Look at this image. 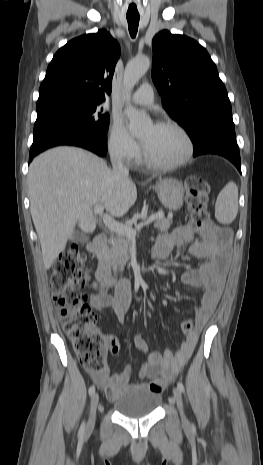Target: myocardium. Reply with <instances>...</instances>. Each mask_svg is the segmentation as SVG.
<instances>
[{"label":"myocardium","mask_w":263,"mask_h":465,"mask_svg":"<svg viewBox=\"0 0 263 465\" xmlns=\"http://www.w3.org/2000/svg\"><path fill=\"white\" fill-rule=\"evenodd\" d=\"M156 126H160V127H169V128H173L175 130H177L181 135L182 137L184 138L185 142H186V151L183 155V157L177 161H174V162H171V163H162V162H159L157 160H155L148 152V150L146 149V147L144 146L143 144V155H144V160L145 162L155 168V169H158V170H173V169H177L179 167H182L184 166L185 164H187L190 159L192 158L193 154H194V142H193V139L191 137V135L189 134V132L186 130V128H184L181 124H179L178 122H175L173 120H163V121H160L156 124Z\"/></svg>","instance_id":"myocardium-1"}]
</instances>
